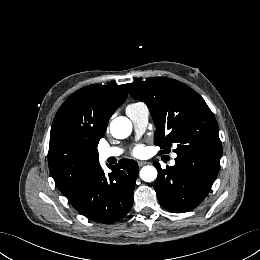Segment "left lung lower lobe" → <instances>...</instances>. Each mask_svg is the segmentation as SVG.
Instances as JSON below:
<instances>
[{
	"mask_svg": "<svg viewBox=\"0 0 260 260\" xmlns=\"http://www.w3.org/2000/svg\"><path fill=\"white\" fill-rule=\"evenodd\" d=\"M221 155L202 152L177 154L176 164L163 170L154 165L158 177L154 188L160 204L173 213L198 206L208 195L219 171Z\"/></svg>",
	"mask_w": 260,
	"mask_h": 260,
	"instance_id": "0a47b994",
	"label": "left lung lower lobe"
}]
</instances>
